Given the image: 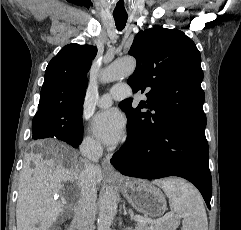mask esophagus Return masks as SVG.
<instances>
[{
    "label": "esophagus",
    "instance_id": "1",
    "mask_svg": "<svg viewBox=\"0 0 241 230\" xmlns=\"http://www.w3.org/2000/svg\"><path fill=\"white\" fill-rule=\"evenodd\" d=\"M112 155L111 154H107L101 161L102 167L104 169V171L110 175H117V173L114 171V168L112 167L111 163H110V159H111Z\"/></svg>",
    "mask_w": 241,
    "mask_h": 230
}]
</instances>
